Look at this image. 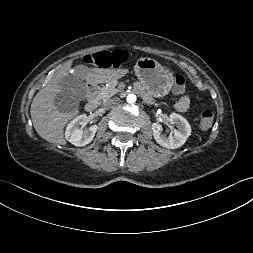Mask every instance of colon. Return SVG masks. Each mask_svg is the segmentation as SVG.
I'll return each instance as SVG.
<instances>
[{"mask_svg":"<svg viewBox=\"0 0 253 253\" xmlns=\"http://www.w3.org/2000/svg\"><path fill=\"white\" fill-rule=\"evenodd\" d=\"M126 58V53L121 50L102 51L84 56L83 62L88 65L104 66L109 63H122ZM173 91L175 94L184 95L186 93V80L181 74L175 76ZM214 115L210 110H204L200 114L199 126L203 130L211 127Z\"/></svg>","mask_w":253,"mask_h":253,"instance_id":"colon-1","label":"colon"}]
</instances>
